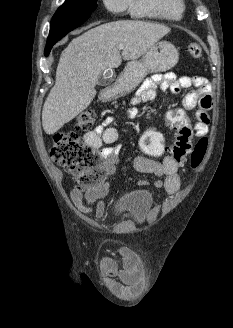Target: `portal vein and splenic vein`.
<instances>
[{
  "label": "portal vein and splenic vein",
  "mask_w": 233,
  "mask_h": 328,
  "mask_svg": "<svg viewBox=\"0 0 233 328\" xmlns=\"http://www.w3.org/2000/svg\"><path fill=\"white\" fill-rule=\"evenodd\" d=\"M119 49H124V45L123 44H120L119 45Z\"/></svg>",
  "instance_id": "portal-vein-and-splenic-vein-1"
}]
</instances>
